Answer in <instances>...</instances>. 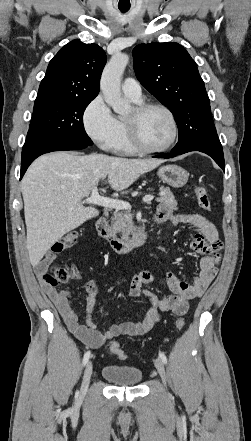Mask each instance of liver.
Returning a JSON list of instances; mask_svg holds the SVG:
<instances>
[{"mask_svg":"<svg viewBox=\"0 0 251 441\" xmlns=\"http://www.w3.org/2000/svg\"><path fill=\"white\" fill-rule=\"evenodd\" d=\"M163 162L68 152L37 158L21 184L31 265L39 264L66 233L99 215L97 209L84 207L81 200L89 196L101 179L108 176L111 188L122 191Z\"/></svg>","mask_w":251,"mask_h":441,"instance_id":"1","label":"liver"}]
</instances>
